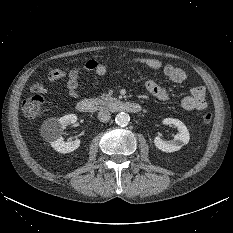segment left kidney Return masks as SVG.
I'll use <instances>...</instances> for the list:
<instances>
[{"mask_svg": "<svg viewBox=\"0 0 233 233\" xmlns=\"http://www.w3.org/2000/svg\"><path fill=\"white\" fill-rule=\"evenodd\" d=\"M163 124L174 125L177 127L178 133L174 136V139L170 141L163 140L159 136L155 137L154 144L159 150L171 153L180 150L182 146L188 144L190 134L182 121L173 118H166L163 120Z\"/></svg>", "mask_w": 233, "mask_h": 233, "instance_id": "left-kidney-1", "label": "left kidney"}]
</instances>
